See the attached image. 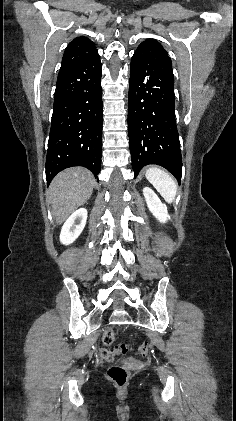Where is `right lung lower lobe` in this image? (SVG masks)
I'll use <instances>...</instances> for the list:
<instances>
[{
  "instance_id": "obj_1",
  "label": "right lung lower lobe",
  "mask_w": 236,
  "mask_h": 421,
  "mask_svg": "<svg viewBox=\"0 0 236 421\" xmlns=\"http://www.w3.org/2000/svg\"><path fill=\"white\" fill-rule=\"evenodd\" d=\"M101 74L99 56L59 71L46 158L48 184L58 172L72 166L86 167L96 178L100 172Z\"/></svg>"
}]
</instances>
